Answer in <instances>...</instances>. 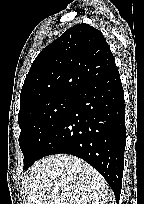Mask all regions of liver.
Masks as SVG:
<instances>
[{"instance_id": "obj_1", "label": "liver", "mask_w": 144, "mask_h": 204, "mask_svg": "<svg viewBox=\"0 0 144 204\" xmlns=\"http://www.w3.org/2000/svg\"><path fill=\"white\" fill-rule=\"evenodd\" d=\"M24 204H114L102 175L88 163L66 154L35 162L22 180Z\"/></svg>"}]
</instances>
